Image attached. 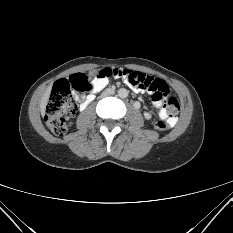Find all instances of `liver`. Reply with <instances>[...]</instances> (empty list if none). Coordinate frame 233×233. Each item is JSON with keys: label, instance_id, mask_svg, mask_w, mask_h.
I'll return each instance as SVG.
<instances>
[{"label": "liver", "instance_id": "1", "mask_svg": "<svg viewBox=\"0 0 233 233\" xmlns=\"http://www.w3.org/2000/svg\"><path fill=\"white\" fill-rule=\"evenodd\" d=\"M50 92H51V86H49V87L47 88V90L45 91L44 95H43L42 98H41V102H40V111H41V114H42V115L45 114L46 106H47V103H48L49 97H50Z\"/></svg>", "mask_w": 233, "mask_h": 233}]
</instances>
